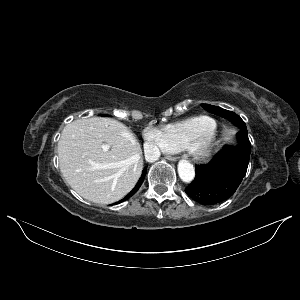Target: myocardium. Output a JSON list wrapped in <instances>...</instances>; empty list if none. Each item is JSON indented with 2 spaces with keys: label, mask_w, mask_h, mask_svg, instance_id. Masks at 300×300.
<instances>
[{
  "label": "myocardium",
  "mask_w": 300,
  "mask_h": 300,
  "mask_svg": "<svg viewBox=\"0 0 300 300\" xmlns=\"http://www.w3.org/2000/svg\"><path fill=\"white\" fill-rule=\"evenodd\" d=\"M218 136L217 129H214L200 137L190 149L194 157L202 161L210 159L216 152Z\"/></svg>",
  "instance_id": "obj_1"
}]
</instances>
